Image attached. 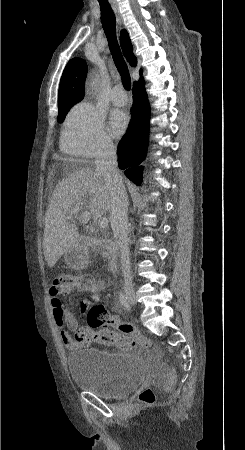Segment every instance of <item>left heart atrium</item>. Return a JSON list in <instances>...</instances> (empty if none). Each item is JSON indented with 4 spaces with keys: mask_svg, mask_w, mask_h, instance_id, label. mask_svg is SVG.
Returning <instances> with one entry per match:
<instances>
[{
    "mask_svg": "<svg viewBox=\"0 0 245 450\" xmlns=\"http://www.w3.org/2000/svg\"><path fill=\"white\" fill-rule=\"evenodd\" d=\"M129 123L128 115L122 110H115L111 114L110 129L115 136L121 135Z\"/></svg>",
    "mask_w": 245,
    "mask_h": 450,
    "instance_id": "left-heart-atrium-1",
    "label": "left heart atrium"
}]
</instances>
